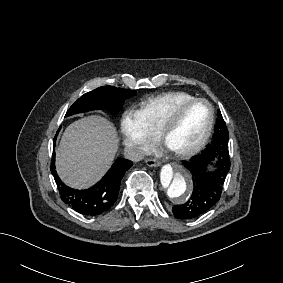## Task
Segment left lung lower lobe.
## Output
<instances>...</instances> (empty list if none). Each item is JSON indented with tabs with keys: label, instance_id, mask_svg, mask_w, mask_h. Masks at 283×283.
<instances>
[{
	"label": "left lung lower lobe",
	"instance_id": "0a47b994",
	"mask_svg": "<svg viewBox=\"0 0 283 283\" xmlns=\"http://www.w3.org/2000/svg\"><path fill=\"white\" fill-rule=\"evenodd\" d=\"M214 128L213 141L204 152L183 162L191 173L193 192L190 199L175 205L172 211L179 219H195L210 210L220 199L226 175L230 169L228 152V130L221 114H218ZM215 159V170H207L208 164Z\"/></svg>",
	"mask_w": 283,
	"mask_h": 283
}]
</instances>
